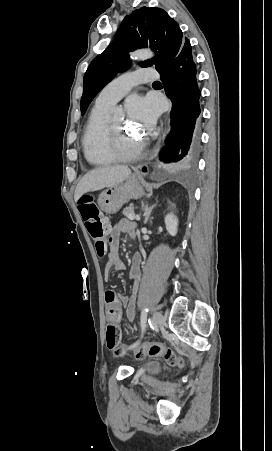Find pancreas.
<instances>
[{
    "mask_svg": "<svg viewBox=\"0 0 272 451\" xmlns=\"http://www.w3.org/2000/svg\"><path fill=\"white\" fill-rule=\"evenodd\" d=\"M134 212V206L132 204H129L128 208H124L122 214L128 218L129 214H133Z\"/></svg>",
    "mask_w": 272,
    "mask_h": 451,
    "instance_id": "pancreas-1",
    "label": "pancreas"
}]
</instances>
